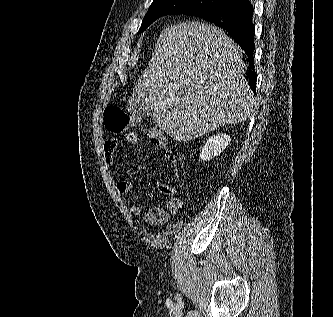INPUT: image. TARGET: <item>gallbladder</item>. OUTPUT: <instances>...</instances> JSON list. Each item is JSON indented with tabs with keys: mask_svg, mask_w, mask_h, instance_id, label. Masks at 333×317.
<instances>
[{
	"mask_svg": "<svg viewBox=\"0 0 333 317\" xmlns=\"http://www.w3.org/2000/svg\"><path fill=\"white\" fill-rule=\"evenodd\" d=\"M152 104L149 102H146L145 100H138L135 101L133 99H130L127 102V110L128 112L137 117H143L146 115H150L152 113Z\"/></svg>",
	"mask_w": 333,
	"mask_h": 317,
	"instance_id": "obj_1",
	"label": "gallbladder"
}]
</instances>
